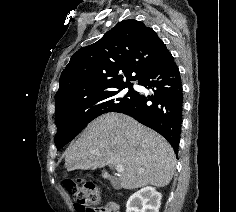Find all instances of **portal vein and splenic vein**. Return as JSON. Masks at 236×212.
<instances>
[{"label":"portal vein and splenic vein","instance_id":"1","mask_svg":"<svg viewBox=\"0 0 236 212\" xmlns=\"http://www.w3.org/2000/svg\"><path fill=\"white\" fill-rule=\"evenodd\" d=\"M91 154H93V155H100V152L98 150H92ZM116 170H117V172L121 173V172L124 171V166L123 165H117L116 166Z\"/></svg>","mask_w":236,"mask_h":212}]
</instances>
